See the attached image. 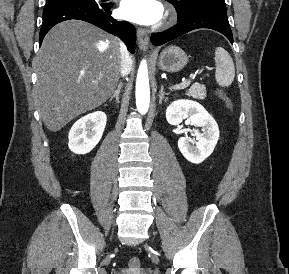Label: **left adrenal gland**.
I'll list each match as a JSON object with an SVG mask.
<instances>
[{"instance_id": "a2214340", "label": "left adrenal gland", "mask_w": 289, "mask_h": 274, "mask_svg": "<svg viewBox=\"0 0 289 274\" xmlns=\"http://www.w3.org/2000/svg\"><path fill=\"white\" fill-rule=\"evenodd\" d=\"M165 95H169V93H166V92L164 91V86L162 85V86H161L160 93H159V104H162V101L164 100Z\"/></svg>"}]
</instances>
